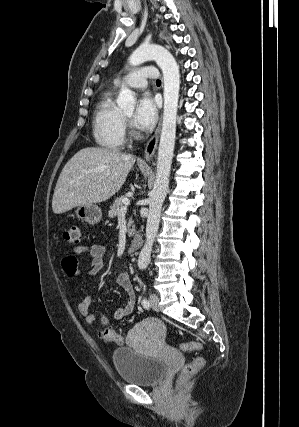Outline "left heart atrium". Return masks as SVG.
<instances>
[{"mask_svg":"<svg viewBox=\"0 0 299 427\" xmlns=\"http://www.w3.org/2000/svg\"><path fill=\"white\" fill-rule=\"evenodd\" d=\"M158 108L155 100L150 96L139 99L133 115V123L140 130H150L156 123Z\"/></svg>","mask_w":299,"mask_h":427,"instance_id":"1","label":"left heart atrium"}]
</instances>
